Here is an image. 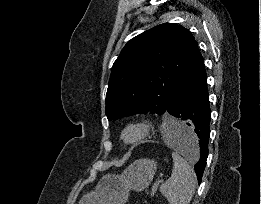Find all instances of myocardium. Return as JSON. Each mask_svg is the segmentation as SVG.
I'll use <instances>...</instances> for the list:
<instances>
[{"label":"myocardium","instance_id":"obj_1","mask_svg":"<svg viewBox=\"0 0 261 204\" xmlns=\"http://www.w3.org/2000/svg\"><path fill=\"white\" fill-rule=\"evenodd\" d=\"M132 132L133 136L127 138V134ZM152 132V124L145 119H137L128 122L120 134L121 141L126 145H137L144 141Z\"/></svg>","mask_w":261,"mask_h":204}]
</instances>
